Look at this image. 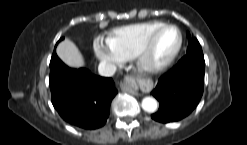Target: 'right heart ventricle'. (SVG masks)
Wrapping results in <instances>:
<instances>
[{"label":"right heart ventricle","mask_w":247,"mask_h":145,"mask_svg":"<svg viewBox=\"0 0 247 145\" xmlns=\"http://www.w3.org/2000/svg\"><path fill=\"white\" fill-rule=\"evenodd\" d=\"M162 24L164 23L160 21H148L116 28L108 34L107 43L123 59H131L149 34Z\"/></svg>","instance_id":"1"}]
</instances>
